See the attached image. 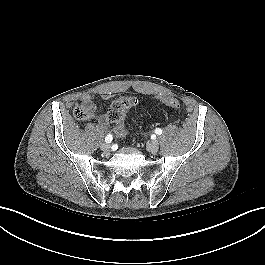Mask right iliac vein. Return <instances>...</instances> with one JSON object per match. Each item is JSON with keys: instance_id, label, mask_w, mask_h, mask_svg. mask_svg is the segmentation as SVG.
<instances>
[{"instance_id": "right-iliac-vein-1", "label": "right iliac vein", "mask_w": 265, "mask_h": 265, "mask_svg": "<svg viewBox=\"0 0 265 265\" xmlns=\"http://www.w3.org/2000/svg\"><path fill=\"white\" fill-rule=\"evenodd\" d=\"M100 148H101V150H103L104 152H109L111 146H110V144H108V143H101V144H100Z\"/></svg>"}]
</instances>
